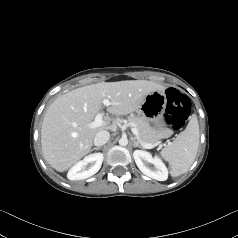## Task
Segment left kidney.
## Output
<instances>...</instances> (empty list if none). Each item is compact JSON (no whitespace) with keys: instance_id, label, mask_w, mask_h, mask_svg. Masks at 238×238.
Wrapping results in <instances>:
<instances>
[{"instance_id":"left-kidney-1","label":"left kidney","mask_w":238,"mask_h":238,"mask_svg":"<svg viewBox=\"0 0 238 238\" xmlns=\"http://www.w3.org/2000/svg\"><path fill=\"white\" fill-rule=\"evenodd\" d=\"M133 156L142 173L158 181L167 180L168 170L160 158L152 157L149 152L143 150H135Z\"/></svg>"}]
</instances>
